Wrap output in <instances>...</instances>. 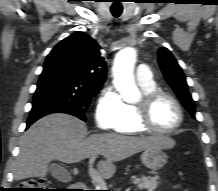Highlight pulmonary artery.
<instances>
[{"label": "pulmonary artery", "mask_w": 218, "mask_h": 191, "mask_svg": "<svg viewBox=\"0 0 218 191\" xmlns=\"http://www.w3.org/2000/svg\"><path fill=\"white\" fill-rule=\"evenodd\" d=\"M137 81L141 85H148L153 82L152 69L146 64H140L137 69Z\"/></svg>", "instance_id": "pulmonary-artery-1"}]
</instances>
